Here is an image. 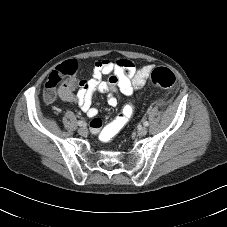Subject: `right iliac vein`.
<instances>
[{
	"label": "right iliac vein",
	"mask_w": 227,
	"mask_h": 227,
	"mask_svg": "<svg viewBox=\"0 0 227 227\" xmlns=\"http://www.w3.org/2000/svg\"><path fill=\"white\" fill-rule=\"evenodd\" d=\"M87 128L86 127H81L78 129V133L82 136H85L87 134Z\"/></svg>",
	"instance_id": "right-iliac-vein-1"
}]
</instances>
